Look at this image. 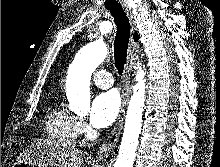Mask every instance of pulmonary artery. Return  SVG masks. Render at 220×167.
I'll use <instances>...</instances> for the list:
<instances>
[{
  "mask_svg": "<svg viewBox=\"0 0 220 167\" xmlns=\"http://www.w3.org/2000/svg\"><path fill=\"white\" fill-rule=\"evenodd\" d=\"M93 83L100 88H110L114 80L112 75L106 70H98L92 76Z\"/></svg>",
  "mask_w": 220,
  "mask_h": 167,
  "instance_id": "pulmonary-artery-1",
  "label": "pulmonary artery"
}]
</instances>
